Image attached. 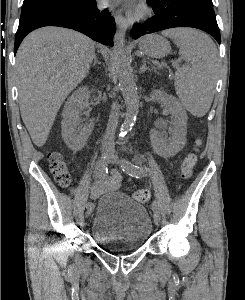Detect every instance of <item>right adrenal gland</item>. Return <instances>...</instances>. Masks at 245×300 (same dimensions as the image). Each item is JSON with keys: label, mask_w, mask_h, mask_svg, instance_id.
Instances as JSON below:
<instances>
[{"label": "right adrenal gland", "mask_w": 245, "mask_h": 300, "mask_svg": "<svg viewBox=\"0 0 245 300\" xmlns=\"http://www.w3.org/2000/svg\"><path fill=\"white\" fill-rule=\"evenodd\" d=\"M96 64H101V63L98 61L97 56L94 55V63L92 66H95Z\"/></svg>", "instance_id": "right-adrenal-gland-1"}]
</instances>
